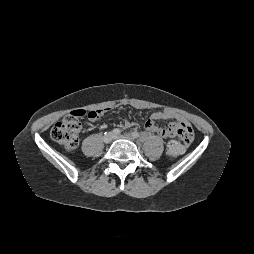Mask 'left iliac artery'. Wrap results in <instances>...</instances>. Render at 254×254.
Instances as JSON below:
<instances>
[{"label": "left iliac artery", "mask_w": 254, "mask_h": 254, "mask_svg": "<svg viewBox=\"0 0 254 254\" xmlns=\"http://www.w3.org/2000/svg\"><path fill=\"white\" fill-rule=\"evenodd\" d=\"M132 136H133L134 138H138V137H139V133H138V132H133V133H132Z\"/></svg>", "instance_id": "obj_1"}]
</instances>
